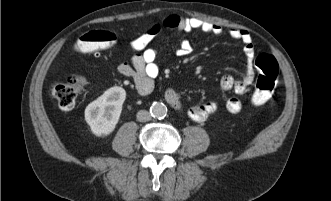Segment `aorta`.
<instances>
[{"mask_svg":"<svg viewBox=\"0 0 331 201\" xmlns=\"http://www.w3.org/2000/svg\"><path fill=\"white\" fill-rule=\"evenodd\" d=\"M151 115L157 119H163L167 115V107L163 103L155 102L152 104Z\"/></svg>","mask_w":331,"mask_h":201,"instance_id":"obj_1","label":"aorta"}]
</instances>
